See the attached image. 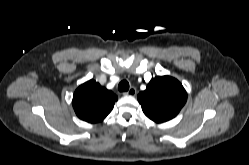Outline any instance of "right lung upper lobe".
Returning a JSON list of instances; mask_svg holds the SVG:
<instances>
[{
	"label": "right lung upper lobe",
	"instance_id": "1",
	"mask_svg": "<svg viewBox=\"0 0 249 165\" xmlns=\"http://www.w3.org/2000/svg\"><path fill=\"white\" fill-rule=\"evenodd\" d=\"M117 96L94 80L80 85L73 96L77 116L89 123L103 120L112 110Z\"/></svg>",
	"mask_w": 249,
	"mask_h": 165
}]
</instances>
